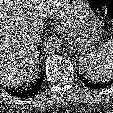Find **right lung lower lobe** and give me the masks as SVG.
<instances>
[{"mask_svg": "<svg viewBox=\"0 0 113 113\" xmlns=\"http://www.w3.org/2000/svg\"><path fill=\"white\" fill-rule=\"evenodd\" d=\"M43 80H44V72L41 71V74L39 78L37 79V81L32 83L30 86H28L27 89L17 90V91H15L14 89L12 90L6 89V91L10 93L11 95H14L17 97L28 98V97L35 95L39 91L43 83Z\"/></svg>", "mask_w": 113, "mask_h": 113, "instance_id": "right-lung-lower-lobe-1", "label": "right lung lower lobe"}]
</instances>
